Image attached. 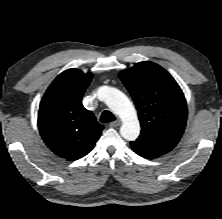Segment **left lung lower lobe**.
Masks as SVG:
<instances>
[{
    "instance_id": "1",
    "label": "left lung lower lobe",
    "mask_w": 222,
    "mask_h": 219,
    "mask_svg": "<svg viewBox=\"0 0 222 219\" xmlns=\"http://www.w3.org/2000/svg\"><path fill=\"white\" fill-rule=\"evenodd\" d=\"M130 145L138 155L144 158H155L170 151L165 148L147 145L136 141L131 142Z\"/></svg>"
}]
</instances>
